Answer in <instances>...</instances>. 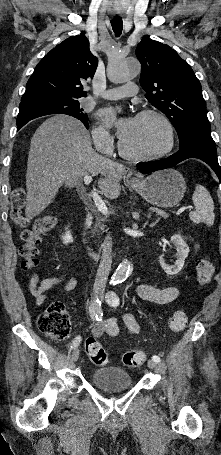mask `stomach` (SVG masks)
Listing matches in <instances>:
<instances>
[{
    "mask_svg": "<svg viewBox=\"0 0 221 455\" xmlns=\"http://www.w3.org/2000/svg\"><path fill=\"white\" fill-rule=\"evenodd\" d=\"M132 187L150 204L170 208L182 200L186 183L177 170L166 169L133 182Z\"/></svg>",
    "mask_w": 221,
    "mask_h": 455,
    "instance_id": "obj_1",
    "label": "stomach"
}]
</instances>
